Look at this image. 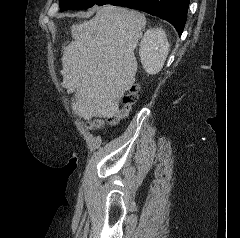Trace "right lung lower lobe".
I'll return each instance as SVG.
<instances>
[{
  "mask_svg": "<svg viewBox=\"0 0 240 238\" xmlns=\"http://www.w3.org/2000/svg\"><path fill=\"white\" fill-rule=\"evenodd\" d=\"M190 0H113L108 4L144 11L170 22L179 35L187 19Z\"/></svg>",
  "mask_w": 240,
  "mask_h": 238,
  "instance_id": "1",
  "label": "right lung lower lobe"
}]
</instances>
